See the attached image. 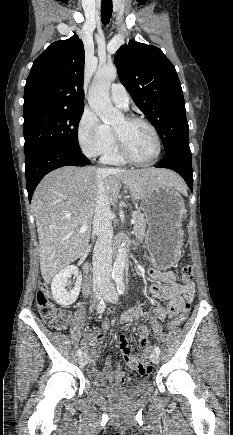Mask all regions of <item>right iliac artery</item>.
<instances>
[{"instance_id": "1", "label": "right iliac artery", "mask_w": 233, "mask_h": 435, "mask_svg": "<svg viewBox=\"0 0 233 435\" xmlns=\"http://www.w3.org/2000/svg\"><path fill=\"white\" fill-rule=\"evenodd\" d=\"M105 308H106V303H105V301L102 299V300L98 303V305H97V308H96L97 313H102V312L105 310ZM81 354H82V350H81V349H78V351H77V355H78V356H81Z\"/></svg>"}]
</instances>
